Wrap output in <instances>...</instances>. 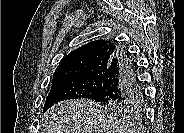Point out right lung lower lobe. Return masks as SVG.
Masks as SVG:
<instances>
[{"mask_svg":"<svg viewBox=\"0 0 184 133\" xmlns=\"http://www.w3.org/2000/svg\"><path fill=\"white\" fill-rule=\"evenodd\" d=\"M135 66L128 53L117 47L109 67L103 73L102 88L92 100L100 104L115 105L133 104L143 100Z\"/></svg>","mask_w":184,"mask_h":133,"instance_id":"obj_1","label":"right lung lower lobe"}]
</instances>
